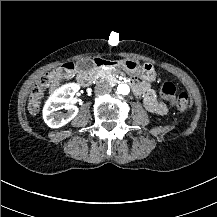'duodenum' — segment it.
<instances>
[{"instance_id": "duodenum-1", "label": "duodenum", "mask_w": 217, "mask_h": 217, "mask_svg": "<svg viewBox=\"0 0 217 217\" xmlns=\"http://www.w3.org/2000/svg\"><path fill=\"white\" fill-rule=\"evenodd\" d=\"M119 63L116 60H109V59H105V58H95L93 61V66L96 68L99 67H115L117 66ZM93 80V75L92 73H87L85 75L82 76V82L84 84H89L91 83ZM131 85L133 87V89L138 88L139 84L136 81H132Z\"/></svg>"}]
</instances>
